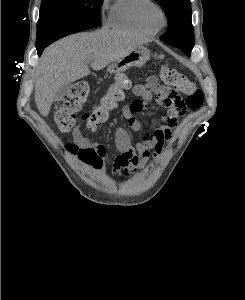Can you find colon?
I'll return each mask as SVG.
<instances>
[{
  "label": "colon",
  "mask_w": 245,
  "mask_h": 300,
  "mask_svg": "<svg viewBox=\"0 0 245 300\" xmlns=\"http://www.w3.org/2000/svg\"><path fill=\"white\" fill-rule=\"evenodd\" d=\"M160 77L168 91L175 95L180 93L186 95V106L192 110H198L204 101L203 92L195 86L184 74L174 68L163 65L160 71ZM130 81L125 74L118 75L114 82L109 84L100 101L92 108L89 113L83 115L82 120L86 130L94 132L98 125L104 123L110 113L114 111L118 103L124 98V91L129 88ZM159 88L158 84L152 86L153 90ZM89 94V85L85 81L75 82L71 90L60 98L57 102L55 112V121L61 132H69L76 123V114L82 104L86 101ZM131 106L135 110H141L143 103L141 100H134ZM70 152L77 154L81 159L94 164V152L88 148H81L77 144L67 145Z\"/></svg>",
  "instance_id": "1"
}]
</instances>
